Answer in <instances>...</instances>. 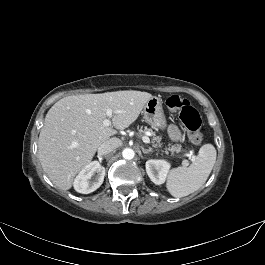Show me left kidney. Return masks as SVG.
Wrapping results in <instances>:
<instances>
[{
	"instance_id": "5707ae66",
	"label": "left kidney",
	"mask_w": 265,
	"mask_h": 265,
	"mask_svg": "<svg viewBox=\"0 0 265 265\" xmlns=\"http://www.w3.org/2000/svg\"><path fill=\"white\" fill-rule=\"evenodd\" d=\"M170 163L165 160L150 159L146 162V172L153 183L161 185L165 182Z\"/></svg>"
}]
</instances>
